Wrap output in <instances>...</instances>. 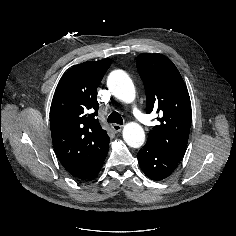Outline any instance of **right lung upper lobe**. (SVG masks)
Wrapping results in <instances>:
<instances>
[{
	"label": "right lung upper lobe",
	"instance_id": "obj_1",
	"mask_svg": "<svg viewBox=\"0 0 236 236\" xmlns=\"http://www.w3.org/2000/svg\"><path fill=\"white\" fill-rule=\"evenodd\" d=\"M109 58L72 67L56 89L50 126L54 150L65 169L82 179L107 155L109 137L98 119L97 87Z\"/></svg>",
	"mask_w": 236,
	"mask_h": 236
}]
</instances>
